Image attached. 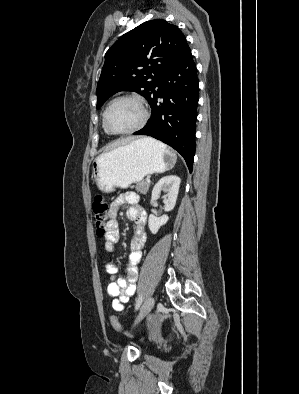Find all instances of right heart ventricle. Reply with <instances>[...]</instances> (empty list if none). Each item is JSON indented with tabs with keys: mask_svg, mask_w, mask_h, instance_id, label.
Listing matches in <instances>:
<instances>
[{
	"mask_svg": "<svg viewBox=\"0 0 299 394\" xmlns=\"http://www.w3.org/2000/svg\"><path fill=\"white\" fill-rule=\"evenodd\" d=\"M103 128H104V125H103ZM104 130H105L106 133H108L105 128H104Z\"/></svg>",
	"mask_w": 299,
	"mask_h": 394,
	"instance_id": "1",
	"label": "right heart ventricle"
}]
</instances>
